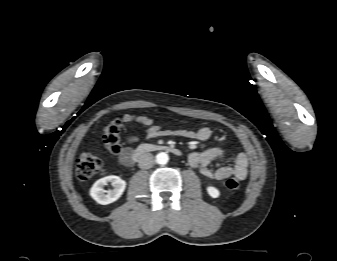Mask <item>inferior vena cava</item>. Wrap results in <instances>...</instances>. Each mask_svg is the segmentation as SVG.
I'll use <instances>...</instances> for the list:
<instances>
[{
  "label": "inferior vena cava",
  "mask_w": 337,
  "mask_h": 261,
  "mask_svg": "<svg viewBox=\"0 0 337 261\" xmlns=\"http://www.w3.org/2000/svg\"><path fill=\"white\" fill-rule=\"evenodd\" d=\"M154 164V157L150 153L142 154L138 159V165L141 169H149Z\"/></svg>",
  "instance_id": "obj_1"
}]
</instances>
